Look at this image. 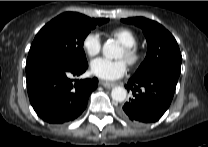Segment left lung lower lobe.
<instances>
[{
    "mask_svg": "<svg viewBox=\"0 0 208 147\" xmlns=\"http://www.w3.org/2000/svg\"><path fill=\"white\" fill-rule=\"evenodd\" d=\"M178 78L166 70L132 77L125 87L133 97L119 109L120 117L134 125L158 121L170 106Z\"/></svg>",
    "mask_w": 208,
    "mask_h": 147,
    "instance_id": "left-lung-lower-lobe-1",
    "label": "left lung lower lobe"
}]
</instances>
